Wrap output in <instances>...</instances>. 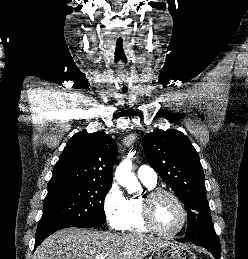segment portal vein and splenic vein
Segmentation results:
<instances>
[{
    "instance_id": "1",
    "label": "portal vein and splenic vein",
    "mask_w": 248,
    "mask_h": 259,
    "mask_svg": "<svg viewBox=\"0 0 248 259\" xmlns=\"http://www.w3.org/2000/svg\"><path fill=\"white\" fill-rule=\"evenodd\" d=\"M96 259H104L103 256H97Z\"/></svg>"
}]
</instances>
